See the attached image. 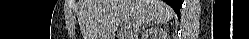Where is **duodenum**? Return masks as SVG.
Instances as JSON below:
<instances>
[{
    "label": "duodenum",
    "instance_id": "obj_1",
    "mask_svg": "<svg viewBox=\"0 0 249 39\" xmlns=\"http://www.w3.org/2000/svg\"><path fill=\"white\" fill-rule=\"evenodd\" d=\"M114 39H123V37H122V35H115L114 37H113Z\"/></svg>",
    "mask_w": 249,
    "mask_h": 39
}]
</instances>
